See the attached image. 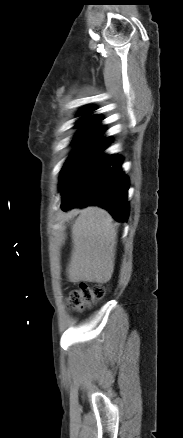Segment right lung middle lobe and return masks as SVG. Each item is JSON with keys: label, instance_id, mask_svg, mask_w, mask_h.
I'll return each instance as SVG.
<instances>
[{"label": "right lung middle lobe", "instance_id": "1", "mask_svg": "<svg viewBox=\"0 0 183 438\" xmlns=\"http://www.w3.org/2000/svg\"><path fill=\"white\" fill-rule=\"evenodd\" d=\"M96 130H81L77 137L75 138L74 142H79V146L74 150V152L71 154L69 159L67 160L65 166L63 167L62 171L68 166V164L72 161V159L80 152V150L88 144L96 134Z\"/></svg>", "mask_w": 183, "mask_h": 438}]
</instances>
